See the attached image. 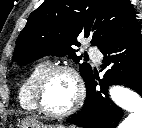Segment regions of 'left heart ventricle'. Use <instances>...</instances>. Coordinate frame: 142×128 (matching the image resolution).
Returning a JSON list of instances; mask_svg holds the SVG:
<instances>
[{
	"instance_id": "1",
	"label": "left heart ventricle",
	"mask_w": 142,
	"mask_h": 128,
	"mask_svg": "<svg viewBox=\"0 0 142 128\" xmlns=\"http://www.w3.org/2000/svg\"><path fill=\"white\" fill-rule=\"evenodd\" d=\"M76 87L73 78L66 72H58L50 77L43 93V104L52 112H63L75 100Z\"/></svg>"
}]
</instances>
